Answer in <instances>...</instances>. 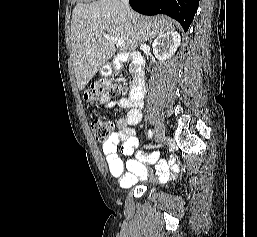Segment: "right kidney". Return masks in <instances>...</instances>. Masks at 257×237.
I'll return each instance as SVG.
<instances>
[{
	"label": "right kidney",
	"instance_id": "right-kidney-1",
	"mask_svg": "<svg viewBox=\"0 0 257 237\" xmlns=\"http://www.w3.org/2000/svg\"><path fill=\"white\" fill-rule=\"evenodd\" d=\"M181 37L176 31H168L159 35L153 42V53L160 61L171 58L180 46Z\"/></svg>",
	"mask_w": 257,
	"mask_h": 237
}]
</instances>
